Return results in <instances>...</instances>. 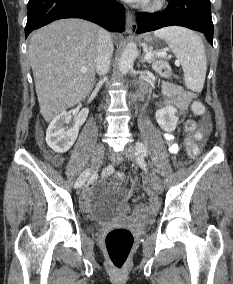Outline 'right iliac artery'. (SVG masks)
<instances>
[{"label":"right iliac artery","mask_w":233,"mask_h":284,"mask_svg":"<svg viewBox=\"0 0 233 284\" xmlns=\"http://www.w3.org/2000/svg\"><path fill=\"white\" fill-rule=\"evenodd\" d=\"M90 172H91V170L89 169V168H87V169H85L82 173H81V175L79 176V178L76 180V182H75V187L77 188V187H80V184L81 183H84L86 180H87V178L89 177V175H90Z\"/></svg>","instance_id":"1"}]
</instances>
